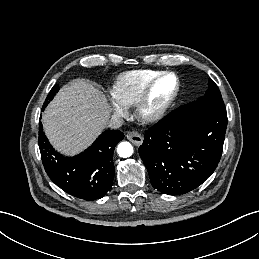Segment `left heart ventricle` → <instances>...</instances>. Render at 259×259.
Returning a JSON list of instances; mask_svg holds the SVG:
<instances>
[{
  "instance_id": "obj_1",
  "label": "left heart ventricle",
  "mask_w": 259,
  "mask_h": 259,
  "mask_svg": "<svg viewBox=\"0 0 259 259\" xmlns=\"http://www.w3.org/2000/svg\"><path fill=\"white\" fill-rule=\"evenodd\" d=\"M174 88L175 78L173 76H167L158 81L151 92L148 110L155 109L163 104L171 96Z\"/></svg>"
}]
</instances>
